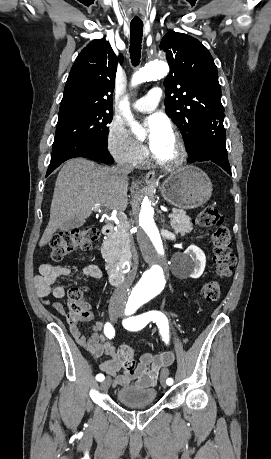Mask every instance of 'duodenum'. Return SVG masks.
Instances as JSON below:
<instances>
[{
    "mask_svg": "<svg viewBox=\"0 0 271 459\" xmlns=\"http://www.w3.org/2000/svg\"><path fill=\"white\" fill-rule=\"evenodd\" d=\"M113 231H114V226L111 222L105 223L104 226L102 227V233L105 236L111 235ZM109 278H110V282L112 285H121L125 280V274L119 270H112L110 272Z\"/></svg>",
    "mask_w": 271,
    "mask_h": 459,
    "instance_id": "duodenum-1",
    "label": "duodenum"
}]
</instances>
